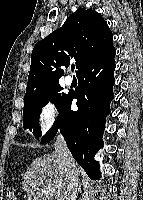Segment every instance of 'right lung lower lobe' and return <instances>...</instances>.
<instances>
[{
    "label": "right lung lower lobe",
    "mask_w": 143,
    "mask_h": 200,
    "mask_svg": "<svg viewBox=\"0 0 143 200\" xmlns=\"http://www.w3.org/2000/svg\"><path fill=\"white\" fill-rule=\"evenodd\" d=\"M115 48L87 63L77 74L79 86L68 94L53 127L42 137L41 143L52 140L58 129L75 160L90 178L100 179L99 163L94 155L103 147V132L110 102L114 98ZM77 99V111L71 102Z\"/></svg>",
    "instance_id": "right-lung-lower-lobe-1"
}]
</instances>
